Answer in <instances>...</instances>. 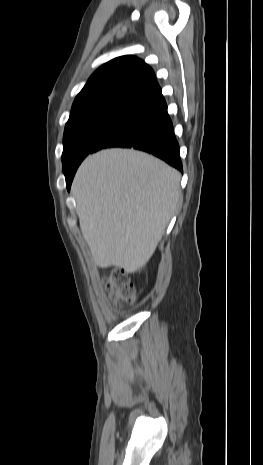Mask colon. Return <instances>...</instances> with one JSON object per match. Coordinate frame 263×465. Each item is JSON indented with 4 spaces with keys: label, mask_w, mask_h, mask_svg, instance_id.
I'll list each match as a JSON object with an SVG mask.
<instances>
[{
    "label": "colon",
    "mask_w": 263,
    "mask_h": 465,
    "mask_svg": "<svg viewBox=\"0 0 263 465\" xmlns=\"http://www.w3.org/2000/svg\"><path fill=\"white\" fill-rule=\"evenodd\" d=\"M107 283L112 289V297L114 299L122 301H132L134 299L135 286L123 270H112Z\"/></svg>",
    "instance_id": "colon-1"
}]
</instances>
